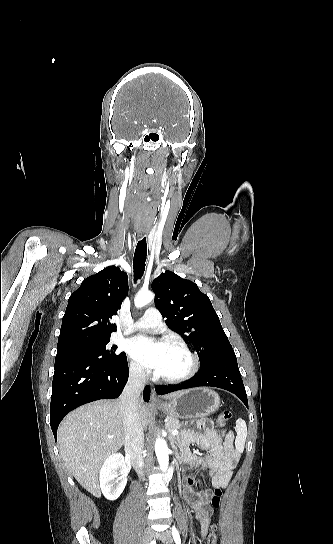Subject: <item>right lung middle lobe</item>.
<instances>
[{
	"label": "right lung middle lobe",
	"mask_w": 333,
	"mask_h": 544,
	"mask_svg": "<svg viewBox=\"0 0 333 544\" xmlns=\"http://www.w3.org/2000/svg\"><path fill=\"white\" fill-rule=\"evenodd\" d=\"M108 343L109 338L95 340L57 349V353L82 354L93 361L106 365H115L120 363L122 359L126 357L125 353L115 354L117 346L113 345L111 349H108Z\"/></svg>",
	"instance_id": "obj_1"
}]
</instances>
